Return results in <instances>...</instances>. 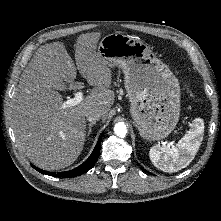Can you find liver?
Returning <instances> with one entry per match:
<instances>
[{"instance_id": "obj_1", "label": "liver", "mask_w": 221, "mask_h": 221, "mask_svg": "<svg viewBox=\"0 0 221 221\" xmlns=\"http://www.w3.org/2000/svg\"><path fill=\"white\" fill-rule=\"evenodd\" d=\"M100 37V33H86L77 38L76 66L63 42L45 44L21 74L13 96L12 128L19 150L42 169L65 168L77 160L85 142L88 111L97 110L102 120L107 119L115 95L110 90L112 72L97 52ZM77 70L94 88L79 104L63 108L56 86H72Z\"/></svg>"}]
</instances>
